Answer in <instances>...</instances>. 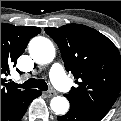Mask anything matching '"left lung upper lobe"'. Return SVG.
Here are the masks:
<instances>
[{"label":"left lung upper lobe","instance_id":"5c2ea615","mask_svg":"<svg viewBox=\"0 0 121 121\" xmlns=\"http://www.w3.org/2000/svg\"><path fill=\"white\" fill-rule=\"evenodd\" d=\"M45 31L57 43L66 70L77 79L78 86L64 95L70 106L103 118L120 92L118 49L106 36L81 24Z\"/></svg>","mask_w":121,"mask_h":121}]
</instances>
